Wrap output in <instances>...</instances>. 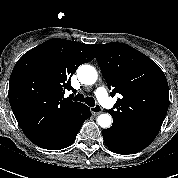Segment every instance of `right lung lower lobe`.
Wrapping results in <instances>:
<instances>
[{"label": "right lung lower lobe", "instance_id": "right-lung-lower-lobe-1", "mask_svg": "<svg viewBox=\"0 0 178 178\" xmlns=\"http://www.w3.org/2000/svg\"><path fill=\"white\" fill-rule=\"evenodd\" d=\"M90 116H91L90 109L89 107L86 106L83 109V113L78 123L69 133L64 134L62 136L52 137L43 141L35 142V144L41 148L49 149V150H60L68 147L76 139V135L79 132L80 128L82 127L84 121L87 120Z\"/></svg>", "mask_w": 178, "mask_h": 178}]
</instances>
